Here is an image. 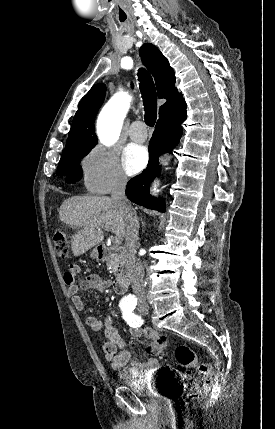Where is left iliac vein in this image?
I'll list each match as a JSON object with an SVG mask.
<instances>
[{"instance_id":"1","label":"left iliac vein","mask_w":275,"mask_h":429,"mask_svg":"<svg viewBox=\"0 0 275 429\" xmlns=\"http://www.w3.org/2000/svg\"><path fill=\"white\" fill-rule=\"evenodd\" d=\"M148 310H149L148 305H142L139 309V312L142 315H146L148 314Z\"/></svg>"}]
</instances>
